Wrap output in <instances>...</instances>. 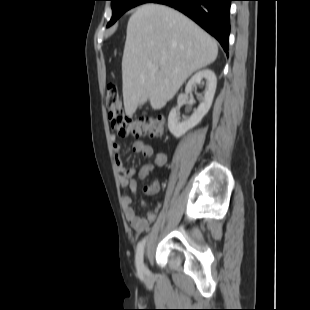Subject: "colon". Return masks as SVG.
<instances>
[{
  "label": "colon",
  "mask_w": 310,
  "mask_h": 310,
  "mask_svg": "<svg viewBox=\"0 0 310 310\" xmlns=\"http://www.w3.org/2000/svg\"><path fill=\"white\" fill-rule=\"evenodd\" d=\"M106 106L108 118L113 129L120 135L159 136L165 128V120L160 115L129 116L125 113L118 87L107 85Z\"/></svg>",
  "instance_id": "obj_1"
}]
</instances>
